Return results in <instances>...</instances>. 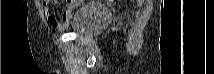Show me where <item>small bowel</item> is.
Returning <instances> with one entry per match:
<instances>
[{
    "label": "small bowel",
    "instance_id": "obj_1",
    "mask_svg": "<svg viewBox=\"0 0 214 74\" xmlns=\"http://www.w3.org/2000/svg\"><path fill=\"white\" fill-rule=\"evenodd\" d=\"M41 4L44 8L48 23L56 30H64L71 19L75 4L71 2L66 3L59 18L49 13L48 7L50 5V1H41Z\"/></svg>",
    "mask_w": 214,
    "mask_h": 74
}]
</instances>
